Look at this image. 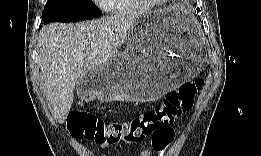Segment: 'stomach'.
I'll return each mask as SVG.
<instances>
[{"label": "stomach", "instance_id": "0dacf381", "mask_svg": "<svg viewBox=\"0 0 261 156\" xmlns=\"http://www.w3.org/2000/svg\"><path fill=\"white\" fill-rule=\"evenodd\" d=\"M127 51L87 71L78 81L104 102L155 101L195 78L205 62L204 45L188 13L178 7L139 17L128 33Z\"/></svg>", "mask_w": 261, "mask_h": 156}]
</instances>
